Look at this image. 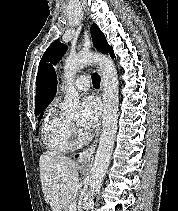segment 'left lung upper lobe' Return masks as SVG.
<instances>
[{
  "mask_svg": "<svg viewBox=\"0 0 178 211\" xmlns=\"http://www.w3.org/2000/svg\"><path fill=\"white\" fill-rule=\"evenodd\" d=\"M91 34L94 46L102 53H110V56L112 58L115 57L113 53V49L111 46L108 45L104 34L100 31L98 26L96 24H93L91 26ZM66 46L63 45L60 41L53 42L45 51L38 68V74L42 71L44 66H46V62H53V64H56L62 55L65 53Z\"/></svg>",
  "mask_w": 178,
  "mask_h": 211,
  "instance_id": "left-lung-upper-lobe-1",
  "label": "left lung upper lobe"
}]
</instances>
